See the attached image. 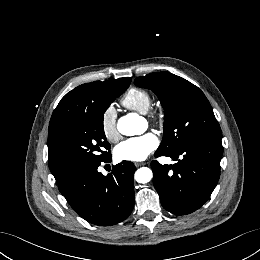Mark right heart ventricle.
<instances>
[{"instance_id":"right-heart-ventricle-1","label":"right heart ventricle","mask_w":260,"mask_h":260,"mask_svg":"<svg viewBox=\"0 0 260 260\" xmlns=\"http://www.w3.org/2000/svg\"><path fill=\"white\" fill-rule=\"evenodd\" d=\"M121 103L124 107L145 114L151 107V95L140 88H131L123 96Z\"/></svg>"}]
</instances>
